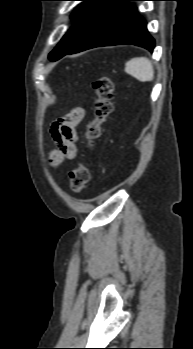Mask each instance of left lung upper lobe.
<instances>
[{"label": "left lung upper lobe", "mask_w": 193, "mask_h": 349, "mask_svg": "<svg viewBox=\"0 0 193 349\" xmlns=\"http://www.w3.org/2000/svg\"><path fill=\"white\" fill-rule=\"evenodd\" d=\"M87 3L79 6L71 18L74 25L68 33L62 38L60 43L49 54L48 58L53 61L62 54L70 50L81 38L86 29L96 19V17L106 8L111 0H80Z\"/></svg>", "instance_id": "5c2ea615"}]
</instances>
